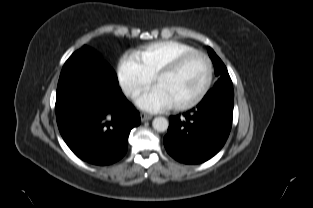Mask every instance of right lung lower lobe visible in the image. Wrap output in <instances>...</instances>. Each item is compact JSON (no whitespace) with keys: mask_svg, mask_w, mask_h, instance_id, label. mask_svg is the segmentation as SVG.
<instances>
[{"mask_svg":"<svg viewBox=\"0 0 313 208\" xmlns=\"http://www.w3.org/2000/svg\"><path fill=\"white\" fill-rule=\"evenodd\" d=\"M55 109L66 144L80 159L95 165L122 158L131 129L141 122L118 87L114 70L88 51H79L64 64Z\"/></svg>","mask_w":313,"mask_h":208,"instance_id":"right-lung-lower-lobe-1","label":"right lung lower lobe"}]
</instances>
